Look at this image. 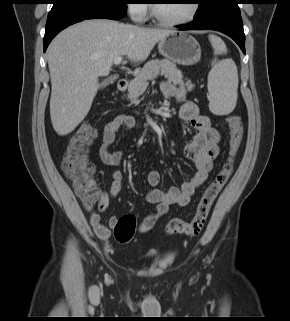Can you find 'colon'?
Here are the masks:
<instances>
[{
    "mask_svg": "<svg viewBox=\"0 0 290 321\" xmlns=\"http://www.w3.org/2000/svg\"><path fill=\"white\" fill-rule=\"evenodd\" d=\"M226 121L230 129V140L224 164L201 194L193 218L190 221L171 219L166 227L167 234L196 236L204 228L213 202L232 173L235 157L243 140L244 128L241 118L238 115H229ZM94 135V126L90 122L82 123L70 139L62 161V170L87 209L93 208L100 197L93 179L95 168L87 155ZM135 231L136 219L133 215L121 216L114 226V236L119 243L130 242Z\"/></svg>",
    "mask_w": 290,
    "mask_h": 321,
    "instance_id": "colon-1",
    "label": "colon"
}]
</instances>
